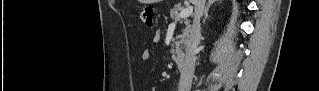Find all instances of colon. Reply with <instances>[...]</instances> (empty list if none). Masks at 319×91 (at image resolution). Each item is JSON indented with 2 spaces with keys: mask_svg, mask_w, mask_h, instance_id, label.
Listing matches in <instances>:
<instances>
[{
  "mask_svg": "<svg viewBox=\"0 0 319 91\" xmlns=\"http://www.w3.org/2000/svg\"><path fill=\"white\" fill-rule=\"evenodd\" d=\"M154 8L151 6L145 7L140 13V19L142 23L151 28L154 25Z\"/></svg>",
  "mask_w": 319,
  "mask_h": 91,
  "instance_id": "colon-1",
  "label": "colon"
}]
</instances>
